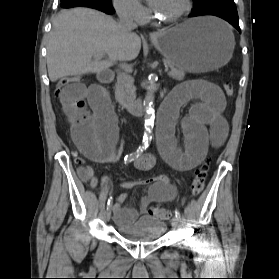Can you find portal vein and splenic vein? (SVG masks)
<instances>
[{
  "instance_id": "18ae733b",
  "label": "portal vein and splenic vein",
  "mask_w": 279,
  "mask_h": 279,
  "mask_svg": "<svg viewBox=\"0 0 279 279\" xmlns=\"http://www.w3.org/2000/svg\"><path fill=\"white\" fill-rule=\"evenodd\" d=\"M102 57V56H100ZM122 69H124L125 71H132L131 67L125 65V64H120L119 65ZM165 69L167 70V66H165Z\"/></svg>"
}]
</instances>
